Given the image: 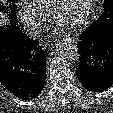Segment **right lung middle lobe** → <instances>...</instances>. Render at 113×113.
Wrapping results in <instances>:
<instances>
[{
	"label": "right lung middle lobe",
	"mask_w": 113,
	"mask_h": 113,
	"mask_svg": "<svg viewBox=\"0 0 113 113\" xmlns=\"http://www.w3.org/2000/svg\"><path fill=\"white\" fill-rule=\"evenodd\" d=\"M8 1L11 2L9 7H4L3 5H0V11H4L5 13H8L9 19L11 22L10 25H17V19H16V15H15V13H16L15 5H13L15 3V0H8ZM8 8H10V9H8ZM7 28H3L0 26V33H3Z\"/></svg>",
	"instance_id": "dd1d6c3e"
}]
</instances>
